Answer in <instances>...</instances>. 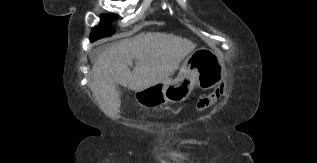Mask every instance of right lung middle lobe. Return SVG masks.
<instances>
[{
    "label": "right lung middle lobe",
    "mask_w": 317,
    "mask_h": 163,
    "mask_svg": "<svg viewBox=\"0 0 317 163\" xmlns=\"http://www.w3.org/2000/svg\"><path fill=\"white\" fill-rule=\"evenodd\" d=\"M100 18L103 22L93 28L90 35L91 42H94L102 37L110 36L114 33V28L109 22L115 20L117 16L113 14H103Z\"/></svg>",
    "instance_id": "1"
}]
</instances>
